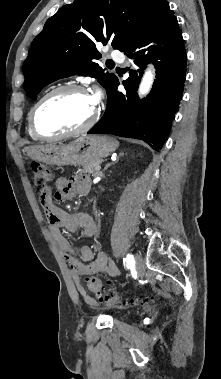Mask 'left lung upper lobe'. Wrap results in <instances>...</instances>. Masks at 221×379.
Returning a JSON list of instances; mask_svg holds the SVG:
<instances>
[{
	"label": "left lung upper lobe",
	"instance_id": "left-lung-upper-lobe-1",
	"mask_svg": "<svg viewBox=\"0 0 221 379\" xmlns=\"http://www.w3.org/2000/svg\"><path fill=\"white\" fill-rule=\"evenodd\" d=\"M166 0H74L45 23L24 62V88L36 99L49 83L72 75L97 78L106 90L116 80L96 62V44L123 51L154 20Z\"/></svg>",
	"mask_w": 221,
	"mask_h": 379
}]
</instances>
